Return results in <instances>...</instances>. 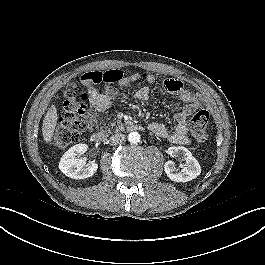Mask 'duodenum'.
Segmentation results:
<instances>
[{
  "label": "duodenum",
  "mask_w": 265,
  "mask_h": 265,
  "mask_svg": "<svg viewBox=\"0 0 265 265\" xmlns=\"http://www.w3.org/2000/svg\"><path fill=\"white\" fill-rule=\"evenodd\" d=\"M131 130H142V126L139 124H134L130 126ZM90 139L94 144H103L106 141V137L103 133L101 132H93L90 135Z\"/></svg>",
  "instance_id": "1"
}]
</instances>
